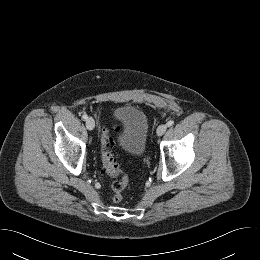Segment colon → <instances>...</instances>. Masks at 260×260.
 I'll use <instances>...</instances> for the list:
<instances>
[{
  "instance_id": "1",
  "label": "colon",
  "mask_w": 260,
  "mask_h": 260,
  "mask_svg": "<svg viewBox=\"0 0 260 260\" xmlns=\"http://www.w3.org/2000/svg\"><path fill=\"white\" fill-rule=\"evenodd\" d=\"M101 160L105 173L115 178L111 188L113 191V201L119 203L123 199V191L127 188L129 180L119 167L113 152V140L108 130H104L101 135Z\"/></svg>"
}]
</instances>
